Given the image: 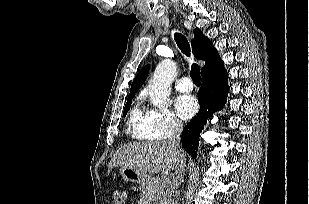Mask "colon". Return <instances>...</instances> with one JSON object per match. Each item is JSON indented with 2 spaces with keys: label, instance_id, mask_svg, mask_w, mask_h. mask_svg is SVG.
Instances as JSON below:
<instances>
[{
  "label": "colon",
  "instance_id": "1",
  "mask_svg": "<svg viewBox=\"0 0 309 204\" xmlns=\"http://www.w3.org/2000/svg\"><path fill=\"white\" fill-rule=\"evenodd\" d=\"M114 204H125L126 193L123 191H115L113 194Z\"/></svg>",
  "mask_w": 309,
  "mask_h": 204
}]
</instances>
